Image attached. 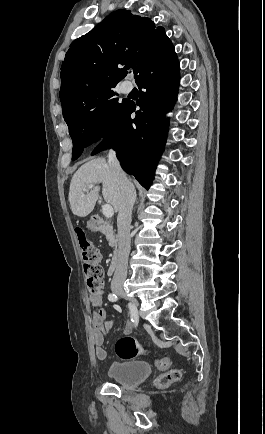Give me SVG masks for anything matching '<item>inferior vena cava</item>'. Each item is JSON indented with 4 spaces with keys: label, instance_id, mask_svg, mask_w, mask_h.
<instances>
[{
    "label": "inferior vena cava",
    "instance_id": "obj_1",
    "mask_svg": "<svg viewBox=\"0 0 265 434\" xmlns=\"http://www.w3.org/2000/svg\"><path fill=\"white\" fill-rule=\"evenodd\" d=\"M108 164L115 170V176L120 188V208L117 218L118 226V258L112 282H124L127 278L128 258L130 254V224L133 206L136 202V190L127 180L114 150L108 154Z\"/></svg>",
    "mask_w": 265,
    "mask_h": 434
}]
</instances>
